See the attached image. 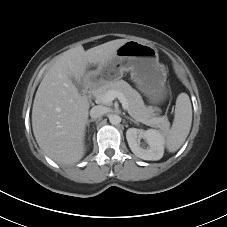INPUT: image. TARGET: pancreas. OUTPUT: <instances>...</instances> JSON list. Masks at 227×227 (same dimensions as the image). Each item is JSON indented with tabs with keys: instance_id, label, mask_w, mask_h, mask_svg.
I'll use <instances>...</instances> for the list:
<instances>
[{
	"instance_id": "pancreas-1",
	"label": "pancreas",
	"mask_w": 227,
	"mask_h": 227,
	"mask_svg": "<svg viewBox=\"0 0 227 227\" xmlns=\"http://www.w3.org/2000/svg\"><path fill=\"white\" fill-rule=\"evenodd\" d=\"M110 90L120 92L124 95L128 102L127 111L132 117L149 126L157 127L162 131L168 130L170 123L167 117H155V112L159 109L152 106H145L141 95L124 80L105 83L94 89L93 95L100 103H103L101 97Z\"/></svg>"
}]
</instances>
